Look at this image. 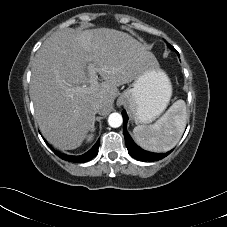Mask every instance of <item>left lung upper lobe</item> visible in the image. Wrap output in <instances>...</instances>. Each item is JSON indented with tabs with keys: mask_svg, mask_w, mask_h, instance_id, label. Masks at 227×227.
Listing matches in <instances>:
<instances>
[{
	"mask_svg": "<svg viewBox=\"0 0 227 227\" xmlns=\"http://www.w3.org/2000/svg\"><path fill=\"white\" fill-rule=\"evenodd\" d=\"M168 46H169V48L171 49V50H175L174 49V47L173 46H171L170 44H168ZM176 51V50H175ZM177 52V51H176ZM178 53V52H177Z\"/></svg>",
	"mask_w": 227,
	"mask_h": 227,
	"instance_id": "obj_1",
	"label": "left lung upper lobe"
}]
</instances>
